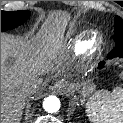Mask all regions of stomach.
Here are the masks:
<instances>
[{
	"mask_svg": "<svg viewBox=\"0 0 123 123\" xmlns=\"http://www.w3.org/2000/svg\"><path fill=\"white\" fill-rule=\"evenodd\" d=\"M58 83L66 85L67 90L70 93H74V92L81 93V95L83 96L82 101L85 100V97H89L95 90V86L91 84L90 82L79 84V83H75L73 81L67 80L65 78H62L59 80Z\"/></svg>",
	"mask_w": 123,
	"mask_h": 123,
	"instance_id": "1",
	"label": "stomach"
}]
</instances>
